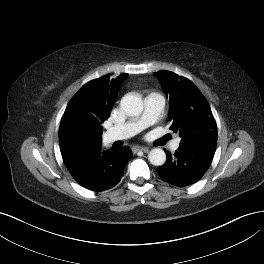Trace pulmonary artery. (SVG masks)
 Here are the masks:
<instances>
[{
  "instance_id": "e3ab8cb5",
  "label": "pulmonary artery",
  "mask_w": 264,
  "mask_h": 264,
  "mask_svg": "<svg viewBox=\"0 0 264 264\" xmlns=\"http://www.w3.org/2000/svg\"><path fill=\"white\" fill-rule=\"evenodd\" d=\"M165 98L162 94L154 92L147 95L145 98V110L143 114L135 119H132L124 124L114 126L105 133V140L113 142L128 138L140 132L144 128L156 122L164 109ZM179 147V141L176 140L172 149L176 150Z\"/></svg>"
}]
</instances>
